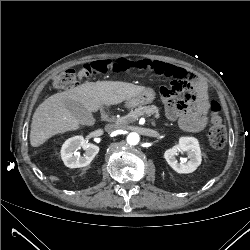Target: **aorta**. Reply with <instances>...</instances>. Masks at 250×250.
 <instances>
[{"label":"aorta","instance_id":"762f6f07","mask_svg":"<svg viewBox=\"0 0 250 250\" xmlns=\"http://www.w3.org/2000/svg\"><path fill=\"white\" fill-rule=\"evenodd\" d=\"M140 141L139 134L132 132L127 136V143L129 145H137Z\"/></svg>","mask_w":250,"mask_h":250}]
</instances>
